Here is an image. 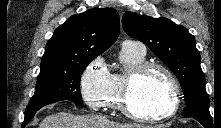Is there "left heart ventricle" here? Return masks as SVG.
<instances>
[{
    "instance_id": "1",
    "label": "left heart ventricle",
    "mask_w": 221,
    "mask_h": 128,
    "mask_svg": "<svg viewBox=\"0 0 221 128\" xmlns=\"http://www.w3.org/2000/svg\"><path fill=\"white\" fill-rule=\"evenodd\" d=\"M171 100L167 77L159 70L149 71L134 86L132 107L140 113L154 115L164 112Z\"/></svg>"
}]
</instances>
